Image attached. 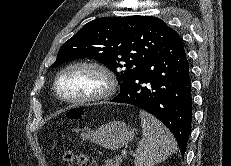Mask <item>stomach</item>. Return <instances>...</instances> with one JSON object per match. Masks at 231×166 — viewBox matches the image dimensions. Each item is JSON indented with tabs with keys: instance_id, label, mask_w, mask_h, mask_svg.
<instances>
[{
	"instance_id": "obj_1",
	"label": "stomach",
	"mask_w": 231,
	"mask_h": 166,
	"mask_svg": "<svg viewBox=\"0 0 231 166\" xmlns=\"http://www.w3.org/2000/svg\"><path fill=\"white\" fill-rule=\"evenodd\" d=\"M81 137L106 149H120L134 138V129L124 122L112 121L96 130H83Z\"/></svg>"
}]
</instances>
